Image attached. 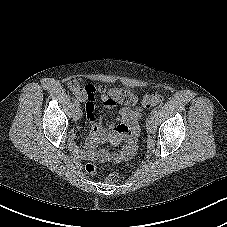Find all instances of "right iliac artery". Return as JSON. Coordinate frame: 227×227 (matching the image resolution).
Masks as SVG:
<instances>
[{"label": "right iliac artery", "instance_id": "right-iliac-artery-1", "mask_svg": "<svg viewBox=\"0 0 227 227\" xmlns=\"http://www.w3.org/2000/svg\"><path fill=\"white\" fill-rule=\"evenodd\" d=\"M73 104H74V106H76V107L79 106V102H78L76 99L73 100Z\"/></svg>", "mask_w": 227, "mask_h": 227}]
</instances>
